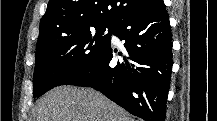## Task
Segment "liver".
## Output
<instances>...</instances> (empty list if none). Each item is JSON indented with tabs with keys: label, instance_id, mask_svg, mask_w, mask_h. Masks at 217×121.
I'll use <instances>...</instances> for the list:
<instances>
[{
	"label": "liver",
	"instance_id": "liver-1",
	"mask_svg": "<svg viewBox=\"0 0 217 121\" xmlns=\"http://www.w3.org/2000/svg\"><path fill=\"white\" fill-rule=\"evenodd\" d=\"M35 121H133L120 106L90 88L60 86L40 98Z\"/></svg>",
	"mask_w": 217,
	"mask_h": 121
}]
</instances>
